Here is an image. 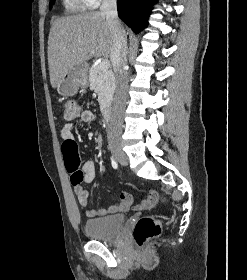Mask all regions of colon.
Wrapping results in <instances>:
<instances>
[{
	"instance_id": "obj_1",
	"label": "colon",
	"mask_w": 247,
	"mask_h": 280,
	"mask_svg": "<svg viewBox=\"0 0 247 280\" xmlns=\"http://www.w3.org/2000/svg\"><path fill=\"white\" fill-rule=\"evenodd\" d=\"M80 114L79 106L74 101H67L64 104V115L71 120ZM62 153L66 170L70 174L72 188L74 191H82L86 188L83 184L84 174L81 169V160L78 154L77 144L74 141H65L62 145ZM162 224L154 216H143L135 224L133 230L134 240L137 245L142 246L150 239L161 234Z\"/></svg>"
}]
</instances>
